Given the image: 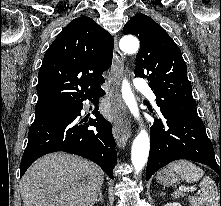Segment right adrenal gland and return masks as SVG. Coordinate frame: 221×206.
<instances>
[{"label":"right adrenal gland","mask_w":221,"mask_h":206,"mask_svg":"<svg viewBox=\"0 0 221 206\" xmlns=\"http://www.w3.org/2000/svg\"><path fill=\"white\" fill-rule=\"evenodd\" d=\"M98 202L104 203V200L102 198V191L99 192V198L96 200V203Z\"/></svg>","instance_id":"right-adrenal-gland-1"}]
</instances>
